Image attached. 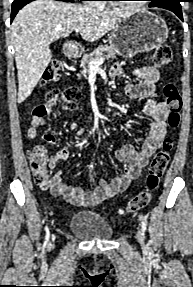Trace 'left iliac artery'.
<instances>
[{
	"label": "left iliac artery",
	"instance_id": "obj_1",
	"mask_svg": "<svg viewBox=\"0 0 193 287\" xmlns=\"http://www.w3.org/2000/svg\"><path fill=\"white\" fill-rule=\"evenodd\" d=\"M140 219H141V230L144 234L147 228V224H146V221L143 219V217H140Z\"/></svg>",
	"mask_w": 193,
	"mask_h": 287
}]
</instances>
